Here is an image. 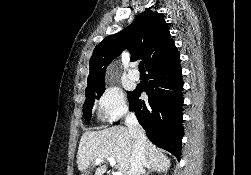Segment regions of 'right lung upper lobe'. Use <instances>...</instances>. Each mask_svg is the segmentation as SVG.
<instances>
[{
	"label": "right lung upper lobe",
	"instance_id": "right-lung-upper-lobe-1",
	"mask_svg": "<svg viewBox=\"0 0 251 175\" xmlns=\"http://www.w3.org/2000/svg\"><path fill=\"white\" fill-rule=\"evenodd\" d=\"M125 48L132 54L131 61L144 60L147 70L166 64L180 55L163 14L145 10L126 29L106 37L95 47L89 62L87 88L105 86L107 66Z\"/></svg>",
	"mask_w": 251,
	"mask_h": 175
}]
</instances>
